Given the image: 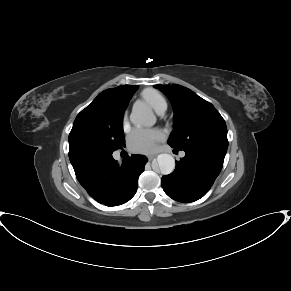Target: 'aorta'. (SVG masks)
I'll list each match as a JSON object with an SVG mask.
<instances>
[{
  "instance_id": "aorta-1",
  "label": "aorta",
  "mask_w": 291,
  "mask_h": 291,
  "mask_svg": "<svg viewBox=\"0 0 291 291\" xmlns=\"http://www.w3.org/2000/svg\"><path fill=\"white\" fill-rule=\"evenodd\" d=\"M130 120L136 126H153L156 123V116L152 109L145 103L133 105ZM157 165L163 175L171 174L175 168V160L170 154H159Z\"/></svg>"
}]
</instances>
